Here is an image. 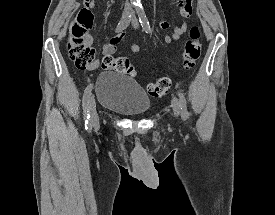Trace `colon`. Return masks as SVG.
Here are the masks:
<instances>
[{"instance_id": "obj_1", "label": "colon", "mask_w": 275, "mask_h": 215, "mask_svg": "<svg viewBox=\"0 0 275 215\" xmlns=\"http://www.w3.org/2000/svg\"><path fill=\"white\" fill-rule=\"evenodd\" d=\"M83 5L75 15L67 38V50L70 58L78 67H87L94 61L95 50L88 41V30L93 26V14L90 10L91 0H82ZM201 33L197 26H193L189 32V38L185 42L182 54L183 67L191 70L201 53ZM101 67L105 70L114 69L119 73L134 75V67L131 61L124 56L114 57L105 55L101 60ZM170 79L158 78L148 84V91L152 97H159L170 89Z\"/></svg>"}]
</instances>
